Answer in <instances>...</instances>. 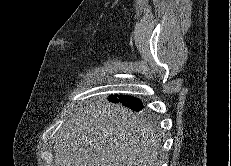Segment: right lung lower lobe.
<instances>
[{
    "label": "right lung lower lobe",
    "mask_w": 231,
    "mask_h": 166,
    "mask_svg": "<svg viewBox=\"0 0 231 166\" xmlns=\"http://www.w3.org/2000/svg\"><path fill=\"white\" fill-rule=\"evenodd\" d=\"M109 101L114 103H121L124 106L132 109L133 111L139 112L144 106L139 98L127 95H110L108 98Z\"/></svg>",
    "instance_id": "obj_1"
}]
</instances>
